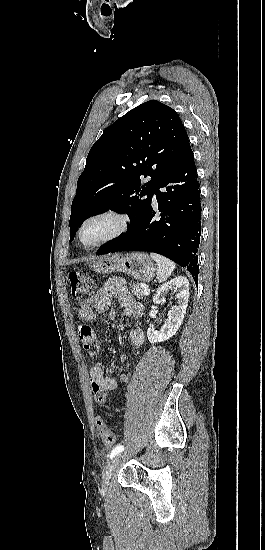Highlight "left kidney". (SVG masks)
<instances>
[{
  "label": "left kidney",
  "instance_id": "5707ae66",
  "mask_svg": "<svg viewBox=\"0 0 265 550\" xmlns=\"http://www.w3.org/2000/svg\"><path fill=\"white\" fill-rule=\"evenodd\" d=\"M170 291L177 292L175 295L177 305L169 310L167 320L160 331L155 330L153 327L148 328L147 337L152 344L170 339L176 334L183 322L189 298L188 279L183 276H178L163 284L157 289L153 297V303L155 305L164 304L166 302V294Z\"/></svg>",
  "mask_w": 265,
  "mask_h": 550
}]
</instances>
